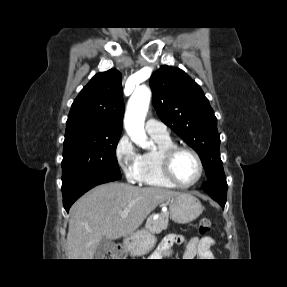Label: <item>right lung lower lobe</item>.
<instances>
[{
	"mask_svg": "<svg viewBox=\"0 0 287 287\" xmlns=\"http://www.w3.org/2000/svg\"><path fill=\"white\" fill-rule=\"evenodd\" d=\"M115 180L117 179L104 176H86L77 178L69 182L67 185L62 186L63 205L65 210L68 212L71 205L89 189L96 185Z\"/></svg>",
	"mask_w": 287,
	"mask_h": 287,
	"instance_id": "right-lung-lower-lobe-1",
	"label": "right lung lower lobe"
}]
</instances>
